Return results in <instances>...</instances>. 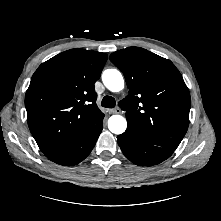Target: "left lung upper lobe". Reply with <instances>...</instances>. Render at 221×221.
I'll list each match as a JSON object with an SVG mask.
<instances>
[{
  "instance_id": "left-lung-upper-lobe-1",
  "label": "left lung upper lobe",
  "mask_w": 221,
  "mask_h": 221,
  "mask_svg": "<svg viewBox=\"0 0 221 221\" xmlns=\"http://www.w3.org/2000/svg\"><path fill=\"white\" fill-rule=\"evenodd\" d=\"M125 76L129 94L119 103L128 125L153 145L175 151L189 125L191 98L174 64L146 49L110 55Z\"/></svg>"
}]
</instances>
